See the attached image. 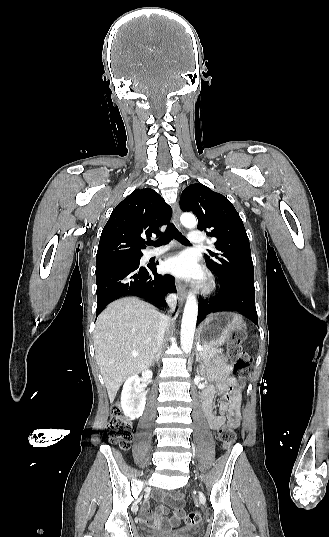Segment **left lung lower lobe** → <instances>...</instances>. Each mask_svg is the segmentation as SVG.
Listing matches in <instances>:
<instances>
[{"label":"left lung lower lobe","mask_w":329,"mask_h":537,"mask_svg":"<svg viewBox=\"0 0 329 537\" xmlns=\"http://www.w3.org/2000/svg\"><path fill=\"white\" fill-rule=\"evenodd\" d=\"M215 311L239 312L258 325L254 282L241 280L220 282L216 295L199 299L197 324L201 321V316Z\"/></svg>","instance_id":"1"}]
</instances>
